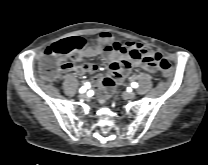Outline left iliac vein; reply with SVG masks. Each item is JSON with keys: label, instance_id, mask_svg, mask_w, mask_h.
Instances as JSON below:
<instances>
[{"label": "left iliac vein", "instance_id": "left-iliac-vein-1", "mask_svg": "<svg viewBox=\"0 0 208 165\" xmlns=\"http://www.w3.org/2000/svg\"><path fill=\"white\" fill-rule=\"evenodd\" d=\"M135 96H136V93L133 92V91H131V92H124V93H123V97H124L125 99H132V98H134Z\"/></svg>", "mask_w": 208, "mask_h": 165}]
</instances>
